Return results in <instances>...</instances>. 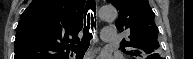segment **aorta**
<instances>
[{"label":"aorta","mask_w":193,"mask_h":59,"mask_svg":"<svg viewBox=\"0 0 193 59\" xmlns=\"http://www.w3.org/2000/svg\"><path fill=\"white\" fill-rule=\"evenodd\" d=\"M117 10L111 5H104L99 10V16L102 20L113 21L117 18Z\"/></svg>","instance_id":"obj_1"}]
</instances>
